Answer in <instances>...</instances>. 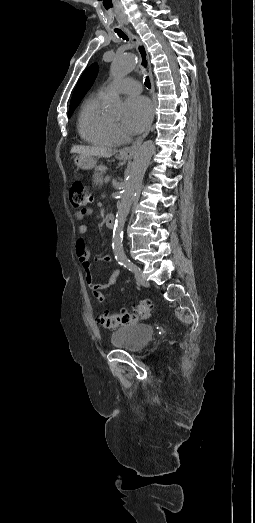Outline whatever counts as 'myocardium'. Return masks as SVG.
I'll return each mask as SVG.
<instances>
[{"label":"myocardium","mask_w":255,"mask_h":523,"mask_svg":"<svg viewBox=\"0 0 255 523\" xmlns=\"http://www.w3.org/2000/svg\"><path fill=\"white\" fill-rule=\"evenodd\" d=\"M111 126L115 132L117 139L126 140L128 138V136L124 132L122 125L118 121L111 119Z\"/></svg>","instance_id":"obj_1"}]
</instances>
